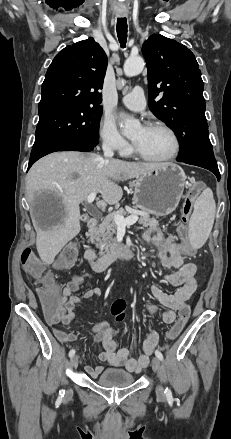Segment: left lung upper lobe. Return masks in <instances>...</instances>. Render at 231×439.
<instances>
[{"label":"left lung upper lobe","mask_w":231,"mask_h":439,"mask_svg":"<svg viewBox=\"0 0 231 439\" xmlns=\"http://www.w3.org/2000/svg\"><path fill=\"white\" fill-rule=\"evenodd\" d=\"M148 69L149 108L178 136L179 159L216 162L205 117L204 83L194 54L160 34L143 44ZM156 97H161L155 101Z\"/></svg>","instance_id":"1"}]
</instances>
